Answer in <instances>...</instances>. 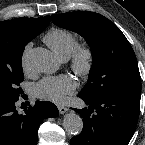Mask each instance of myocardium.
Returning <instances> with one entry per match:
<instances>
[{"label":"myocardium","instance_id":"obj_1","mask_svg":"<svg viewBox=\"0 0 145 145\" xmlns=\"http://www.w3.org/2000/svg\"><path fill=\"white\" fill-rule=\"evenodd\" d=\"M71 69L79 76H87L94 65V54L87 44H78L69 57Z\"/></svg>","mask_w":145,"mask_h":145}]
</instances>
